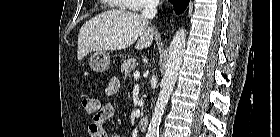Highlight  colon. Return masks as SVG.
Masks as SVG:
<instances>
[{"label":"colon","instance_id":"1","mask_svg":"<svg viewBox=\"0 0 280 137\" xmlns=\"http://www.w3.org/2000/svg\"><path fill=\"white\" fill-rule=\"evenodd\" d=\"M82 106L88 115L95 116L99 112V102L95 98L84 97L82 99Z\"/></svg>","mask_w":280,"mask_h":137}]
</instances>
